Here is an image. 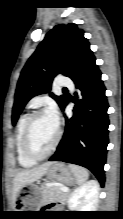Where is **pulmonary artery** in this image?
Instances as JSON below:
<instances>
[{"instance_id":"pulmonary-artery-1","label":"pulmonary artery","mask_w":123,"mask_h":219,"mask_svg":"<svg viewBox=\"0 0 123 219\" xmlns=\"http://www.w3.org/2000/svg\"><path fill=\"white\" fill-rule=\"evenodd\" d=\"M59 86L73 89L74 84L71 79L66 78V77H60L58 81Z\"/></svg>"}]
</instances>
